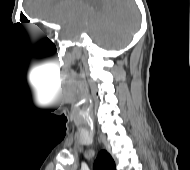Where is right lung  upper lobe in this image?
I'll list each match as a JSON object with an SVG mask.
<instances>
[{
    "mask_svg": "<svg viewBox=\"0 0 190 170\" xmlns=\"http://www.w3.org/2000/svg\"><path fill=\"white\" fill-rule=\"evenodd\" d=\"M94 167L97 170H116L113 158L106 151H100Z\"/></svg>",
    "mask_w": 190,
    "mask_h": 170,
    "instance_id": "1",
    "label": "right lung upper lobe"
}]
</instances>
